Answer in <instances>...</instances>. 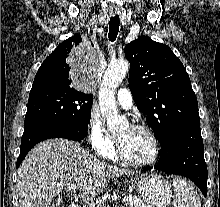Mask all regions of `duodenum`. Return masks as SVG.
Wrapping results in <instances>:
<instances>
[{
  "mask_svg": "<svg viewBox=\"0 0 220 207\" xmlns=\"http://www.w3.org/2000/svg\"><path fill=\"white\" fill-rule=\"evenodd\" d=\"M70 207H79V206H77V205H72V206H70Z\"/></svg>",
  "mask_w": 220,
  "mask_h": 207,
  "instance_id": "1",
  "label": "duodenum"
}]
</instances>
